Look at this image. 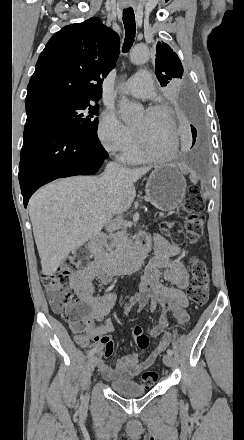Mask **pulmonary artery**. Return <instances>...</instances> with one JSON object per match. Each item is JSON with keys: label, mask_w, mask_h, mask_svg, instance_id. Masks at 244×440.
I'll list each match as a JSON object with an SVG mask.
<instances>
[{"label": "pulmonary artery", "mask_w": 244, "mask_h": 440, "mask_svg": "<svg viewBox=\"0 0 244 440\" xmlns=\"http://www.w3.org/2000/svg\"><path fill=\"white\" fill-rule=\"evenodd\" d=\"M125 89L137 98L151 99L153 96V83L148 69H139L138 75H128Z\"/></svg>", "instance_id": "pulmonary-artery-1"}]
</instances>
